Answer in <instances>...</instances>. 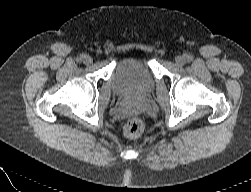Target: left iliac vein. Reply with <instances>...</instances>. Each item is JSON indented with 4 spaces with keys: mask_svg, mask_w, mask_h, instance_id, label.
Returning a JSON list of instances; mask_svg holds the SVG:
<instances>
[{
    "mask_svg": "<svg viewBox=\"0 0 251 192\" xmlns=\"http://www.w3.org/2000/svg\"><path fill=\"white\" fill-rule=\"evenodd\" d=\"M175 62L178 66H183L186 62V59L183 56H177Z\"/></svg>",
    "mask_w": 251,
    "mask_h": 192,
    "instance_id": "4c4485c4",
    "label": "left iliac vein"
}]
</instances>
